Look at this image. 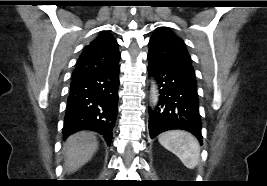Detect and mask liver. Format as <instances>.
<instances>
[{
    "mask_svg": "<svg viewBox=\"0 0 267 186\" xmlns=\"http://www.w3.org/2000/svg\"><path fill=\"white\" fill-rule=\"evenodd\" d=\"M98 141L93 132L81 131L68 137L63 145L65 170L73 173L91 160Z\"/></svg>",
    "mask_w": 267,
    "mask_h": 186,
    "instance_id": "obj_1",
    "label": "liver"
}]
</instances>
